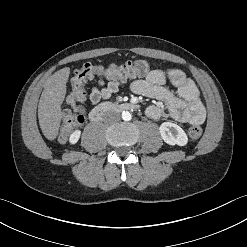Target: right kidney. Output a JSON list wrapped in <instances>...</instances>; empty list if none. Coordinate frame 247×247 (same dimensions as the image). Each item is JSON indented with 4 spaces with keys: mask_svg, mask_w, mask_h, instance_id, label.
I'll return each mask as SVG.
<instances>
[{
    "mask_svg": "<svg viewBox=\"0 0 247 247\" xmlns=\"http://www.w3.org/2000/svg\"><path fill=\"white\" fill-rule=\"evenodd\" d=\"M80 135H81V131L80 130H76L74 131L70 137H69V142L71 144H75L78 142L79 138H80Z\"/></svg>",
    "mask_w": 247,
    "mask_h": 247,
    "instance_id": "ca27d5eb",
    "label": "right kidney"
}]
</instances>
